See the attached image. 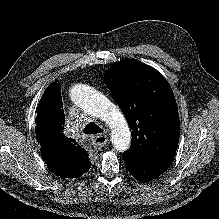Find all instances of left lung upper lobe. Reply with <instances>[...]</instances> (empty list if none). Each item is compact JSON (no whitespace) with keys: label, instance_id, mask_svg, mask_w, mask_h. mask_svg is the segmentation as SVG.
I'll use <instances>...</instances> for the list:
<instances>
[{"label":"left lung upper lobe","instance_id":"1","mask_svg":"<svg viewBox=\"0 0 219 219\" xmlns=\"http://www.w3.org/2000/svg\"><path fill=\"white\" fill-rule=\"evenodd\" d=\"M105 84L129 124L132 144L123 156L172 162L179 141L176 100L164 77L136 59L114 63Z\"/></svg>","mask_w":219,"mask_h":219}]
</instances>
